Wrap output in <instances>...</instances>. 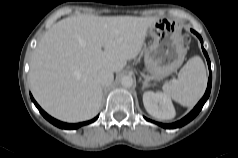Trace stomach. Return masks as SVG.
<instances>
[{
	"mask_svg": "<svg viewBox=\"0 0 238 158\" xmlns=\"http://www.w3.org/2000/svg\"><path fill=\"white\" fill-rule=\"evenodd\" d=\"M148 33L152 42L145 51V67L153 80L160 81L182 65L186 49L179 28L169 19H157Z\"/></svg>",
	"mask_w": 238,
	"mask_h": 158,
	"instance_id": "obj_1",
	"label": "stomach"
}]
</instances>
